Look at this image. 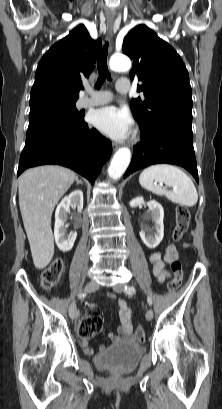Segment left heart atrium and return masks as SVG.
<instances>
[{
    "label": "left heart atrium",
    "instance_id": "1",
    "mask_svg": "<svg viewBox=\"0 0 222 409\" xmlns=\"http://www.w3.org/2000/svg\"><path fill=\"white\" fill-rule=\"evenodd\" d=\"M90 122L103 134L114 140H124L130 136L133 121L126 109L106 106L93 111Z\"/></svg>",
    "mask_w": 222,
    "mask_h": 409
}]
</instances>
